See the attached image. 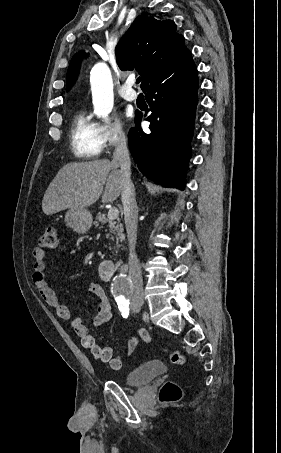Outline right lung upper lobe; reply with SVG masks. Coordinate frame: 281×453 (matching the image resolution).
Wrapping results in <instances>:
<instances>
[{"label": "right lung upper lobe", "mask_w": 281, "mask_h": 453, "mask_svg": "<svg viewBox=\"0 0 281 453\" xmlns=\"http://www.w3.org/2000/svg\"><path fill=\"white\" fill-rule=\"evenodd\" d=\"M189 50L184 37L176 32L172 20L139 15L116 47L117 63L121 70L136 69L145 83L178 60ZM82 55H75L67 72V89L75 82Z\"/></svg>", "instance_id": "cb5924a9"}]
</instances>
